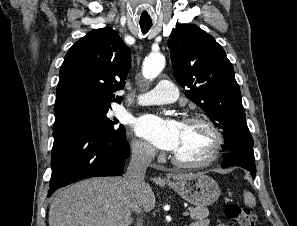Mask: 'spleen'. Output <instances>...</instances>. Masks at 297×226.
<instances>
[{
    "label": "spleen",
    "mask_w": 297,
    "mask_h": 226,
    "mask_svg": "<svg viewBox=\"0 0 297 226\" xmlns=\"http://www.w3.org/2000/svg\"><path fill=\"white\" fill-rule=\"evenodd\" d=\"M244 203L248 207H254L256 205V198L249 191H244Z\"/></svg>",
    "instance_id": "obj_1"
}]
</instances>
